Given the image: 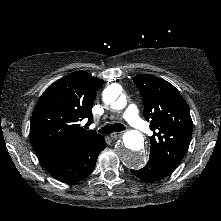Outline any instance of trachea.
<instances>
[{
  "instance_id": "1",
  "label": "trachea",
  "mask_w": 221,
  "mask_h": 221,
  "mask_svg": "<svg viewBox=\"0 0 221 221\" xmlns=\"http://www.w3.org/2000/svg\"><path fill=\"white\" fill-rule=\"evenodd\" d=\"M123 130H125L124 125L119 124V123H115V124H107V125H105L101 129H99L98 132L102 133V134H110L113 131L120 132V131H123Z\"/></svg>"
}]
</instances>
